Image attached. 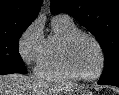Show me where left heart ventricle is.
I'll return each mask as SVG.
<instances>
[{
  "mask_svg": "<svg viewBox=\"0 0 119 95\" xmlns=\"http://www.w3.org/2000/svg\"><path fill=\"white\" fill-rule=\"evenodd\" d=\"M71 60L75 71L83 76H92L100 66V54L96 45L86 37H80L72 48Z\"/></svg>",
  "mask_w": 119,
  "mask_h": 95,
  "instance_id": "obj_1",
  "label": "left heart ventricle"
}]
</instances>
